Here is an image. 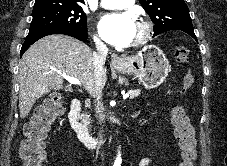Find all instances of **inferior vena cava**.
Listing matches in <instances>:
<instances>
[{"instance_id": "1", "label": "inferior vena cava", "mask_w": 227, "mask_h": 166, "mask_svg": "<svg viewBox=\"0 0 227 166\" xmlns=\"http://www.w3.org/2000/svg\"><path fill=\"white\" fill-rule=\"evenodd\" d=\"M94 42L96 45V52L93 55V63H94V75H95V91L93 93V97L96 100V112L99 114L100 122H103V117L101 112L104 110L102 103V75L104 71V64L106 61V57L108 54L107 46L99 39L94 38ZM101 144L104 143L103 140L100 141Z\"/></svg>"}]
</instances>
